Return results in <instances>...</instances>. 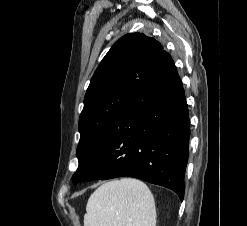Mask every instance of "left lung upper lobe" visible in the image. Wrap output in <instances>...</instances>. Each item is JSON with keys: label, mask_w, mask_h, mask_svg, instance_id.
<instances>
[{"label": "left lung upper lobe", "mask_w": 247, "mask_h": 226, "mask_svg": "<svg viewBox=\"0 0 247 226\" xmlns=\"http://www.w3.org/2000/svg\"><path fill=\"white\" fill-rule=\"evenodd\" d=\"M163 51L154 38L130 33L120 38L105 55L87 89L79 118L77 146L79 166L73 181L99 140L121 114L127 102Z\"/></svg>", "instance_id": "1"}]
</instances>
